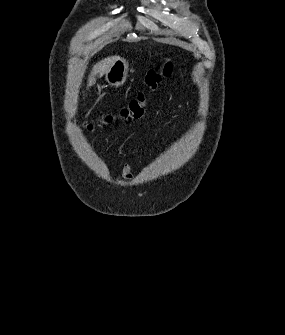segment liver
I'll use <instances>...</instances> for the list:
<instances>
[{
  "instance_id": "1",
  "label": "liver",
  "mask_w": 285,
  "mask_h": 335,
  "mask_svg": "<svg viewBox=\"0 0 285 335\" xmlns=\"http://www.w3.org/2000/svg\"><path fill=\"white\" fill-rule=\"evenodd\" d=\"M115 60H117V56H111V58H105V60H101V62H98V64H95L88 78L87 88H90V86H93L96 74H99L100 78L101 76H104V74L108 72L110 66L114 64Z\"/></svg>"
}]
</instances>
